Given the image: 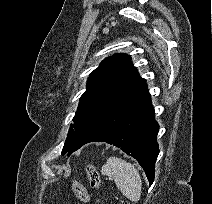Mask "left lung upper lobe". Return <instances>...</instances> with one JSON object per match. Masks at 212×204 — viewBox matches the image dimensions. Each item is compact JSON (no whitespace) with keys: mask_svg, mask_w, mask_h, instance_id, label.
Listing matches in <instances>:
<instances>
[{"mask_svg":"<svg viewBox=\"0 0 212 204\" xmlns=\"http://www.w3.org/2000/svg\"><path fill=\"white\" fill-rule=\"evenodd\" d=\"M144 84L145 80L132 66L128 55L119 53L104 59L89 76L87 90L81 97L62 155L69 152L78 135Z\"/></svg>","mask_w":212,"mask_h":204,"instance_id":"left-lung-upper-lobe-1","label":"left lung upper lobe"}]
</instances>
